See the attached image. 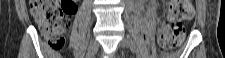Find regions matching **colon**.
I'll return each instance as SVG.
<instances>
[{"instance_id": "colon-1", "label": "colon", "mask_w": 225, "mask_h": 58, "mask_svg": "<svg viewBox=\"0 0 225 58\" xmlns=\"http://www.w3.org/2000/svg\"><path fill=\"white\" fill-rule=\"evenodd\" d=\"M76 10L75 2L69 0H34L31 4V13L44 39L53 49H60L64 45L70 25L68 14ZM192 14L191 0L168 1L169 24L161 28L157 35L158 44L163 50L172 51L183 43L182 22L189 20Z\"/></svg>"}]
</instances>
